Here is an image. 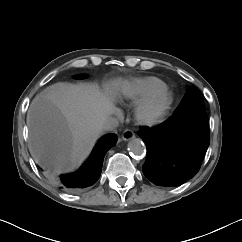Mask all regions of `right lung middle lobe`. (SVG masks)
<instances>
[{
    "mask_svg": "<svg viewBox=\"0 0 242 242\" xmlns=\"http://www.w3.org/2000/svg\"><path fill=\"white\" fill-rule=\"evenodd\" d=\"M78 78H84V76H80V77H78Z\"/></svg>",
    "mask_w": 242,
    "mask_h": 242,
    "instance_id": "1",
    "label": "right lung middle lobe"
}]
</instances>
